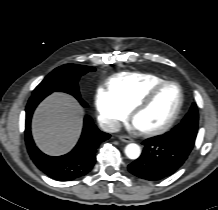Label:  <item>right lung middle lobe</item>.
Returning a JSON list of instances; mask_svg holds the SVG:
<instances>
[{
  "mask_svg": "<svg viewBox=\"0 0 218 210\" xmlns=\"http://www.w3.org/2000/svg\"><path fill=\"white\" fill-rule=\"evenodd\" d=\"M90 71H95V68L77 64L62 65L44 78L34 89L32 96L49 95L55 91H63L79 99L78 80Z\"/></svg>",
  "mask_w": 218,
  "mask_h": 210,
  "instance_id": "dd1d6c3e",
  "label": "right lung middle lobe"
}]
</instances>
